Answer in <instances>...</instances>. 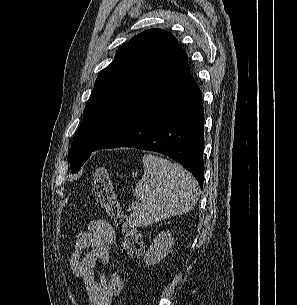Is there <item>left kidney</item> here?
<instances>
[{"label":"left kidney","mask_w":297,"mask_h":305,"mask_svg":"<svg viewBox=\"0 0 297 305\" xmlns=\"http://www.w3.org/2000/svg\"><path fill=\"white\" fill-rule=\"evenodd\" d=\"M173 244L174 238L172 237L171 232H160L145 253L144 262L147 265H154L161 261L168 255Z\"/></svg>","instance_id":"5707ae66"}]
</instances>
